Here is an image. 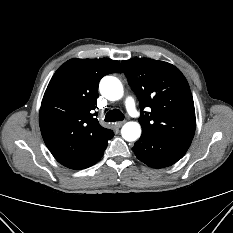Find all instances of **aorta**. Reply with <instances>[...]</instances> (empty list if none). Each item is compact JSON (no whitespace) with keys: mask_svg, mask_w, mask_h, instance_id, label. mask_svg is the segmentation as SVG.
Masks as SVG:
<instances>
[{"mask_svg":"<svg viewBox=\"0 0 233 233\" xmlns=\"http://www.w3.org/2000/svg\"><path fill=\"white\" fill-rule=\"evenodd\" d=\"M100 92L108 100H119L123 96V86L118 78L105 76L100 81ZM121 134L126 141H135L141 135V126L137 122H127L122 127Z\"/></svg>","mask_w":233,"mask_h":233,"instance_id":"762f6f07","label":"aorta"}]
</instances>
